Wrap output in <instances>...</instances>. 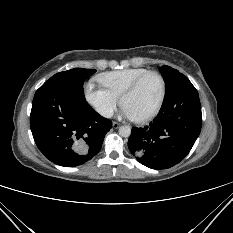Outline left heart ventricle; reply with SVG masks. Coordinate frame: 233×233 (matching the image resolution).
Masks as SVG:
<instances>
[{"label": "left heart ventricle", "mask_w": 233, "mask_h": 233, "mask_svg": "<svg viewBox=\"0 0 233 233\" xmlns=\"http://www.w3.org/2000/svg\"><path fill=\"white\" fill-rule=\"evenodd\" d=\"M161 81L155 76L147 77L140 87L123 101L133 117H142L150 113L157 106L161 96Z\"/></svg>", "instance_id": "b2bd125f"}]
</instances>
